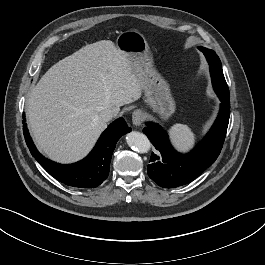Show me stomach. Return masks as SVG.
<instances>
[{
    "instance_id": "obj_1",
    "label": "stomach",
    "mask_w": 265,
    "mask_h": 265,
    "mask_svg": "<svg viewBox=\"0 0 265 265\" xmlns=\"http://www.w3.org/2000/svg\"><path fill=\"white\" fill-rule=\"evenodd\" d=\"M116 45L137 65L136 71L141 77L146 103L161 119L167 120L175 111V102L168 83L153 67L145 37L138 31H125L117 37Z\"/></svg>"
}]
</instances>
